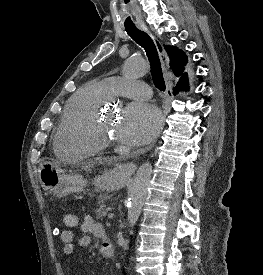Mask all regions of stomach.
<instances>
[{
  "label": "stomach",
  "mask_w": 263,
  "mask_h": 275,
  "mask_svg": "<svg viewBox=\"0 0 263 275\" xmlns=\"http://www.w3.org/2000/svg\"><path fill=\"white\" fill-rule=\"evenodd\" d=\"M39 179L44 190L58 198L71 193H81L88 185V181L80 174L67 173L61 164L50 161L41 164ZM125 183L126 176L120 167L110 169L92 180L96 190H118Z\"/></svg>",
  "instance_id": "stomach-1"
}]
</instances>
